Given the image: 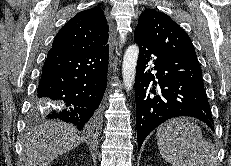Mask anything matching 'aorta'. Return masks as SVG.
<instances>
[{"instance_id":"1","label":"aorta","mask_w":231,"mask_h":166,"mask_svg":"<svg viewBox=\"0 0 231 166\" xmlns=\"http://www.w3.org/2000/svg\"><path fill=\"white\" fill-rule=\"evenodd\" d=\"M138 55L139 47L137 45H131L126 49L123 57L122 75L127 92L132 90L134 85Z\"/></svg>"}]
</instances>
